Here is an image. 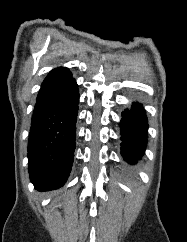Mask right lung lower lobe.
<instances>
[{
    "mask_svg": "<svg viewBox=\"0 0 187 242\" xmlns=\"http://www.w3.org/2000/svg\"><path fill=\"white\" fill-rule=\"evenodd\" d=\"M78 103V86L72 74L39 90L28 140V171L38 191L58 189L69 176Z\"/></svg>",
    "mask_w": 187,
    "mask_h": 242,
    "instance_id": "obj_1",
    "label": "right lung lower lobe"
}]
</instances>
